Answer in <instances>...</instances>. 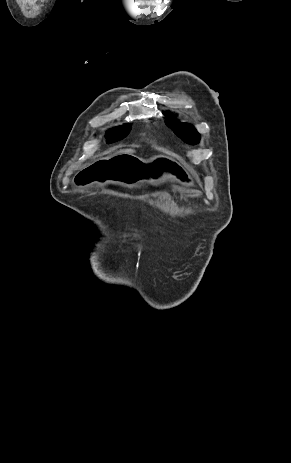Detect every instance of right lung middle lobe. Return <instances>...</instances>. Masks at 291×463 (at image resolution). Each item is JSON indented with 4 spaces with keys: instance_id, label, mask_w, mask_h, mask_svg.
<instances>
[{
    "instance_id": "1",
    "label": "right lung middle lobe",
    "mask_w": 291,
    "mask_h": 463,
    "mask_svg": "<svg viewBox=\"0 0 291 463\" xmlns=\"http://www.w3.org/2000/svg\"><path fill=\"white\" fill-rule=\"evenodd\" d=\"M131 127L129 124H125L123 126L116 127L112 130L107 132L106 138L107 143L116 142L124 137H126L130 131Z\"/></svg>"
}]
</instances>
